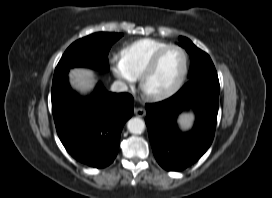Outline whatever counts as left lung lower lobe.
Instances as JSON below:
<instances>
[{
	"mask_svg": "<svg viewBox=\"0 0 272 198\" xmlns=\"http://www.w3.org/2000/svg\"><path fill=\"white\" fill-rule=\"evenodd\" d=\"M219 80L217 73L191 78L175 95L146 104V125L157 162L166 170L180 171L195 163L210 147L215 133ZM191 106L196 122L188 133L176 125L180 111Z\"/></svg>",
	"mask_w": 272,
	"mask_h": 198,
	"instance_id": "left-lung-lower-lobe-1",
	"label": "left lung lower lobe"
}]
</instances>
